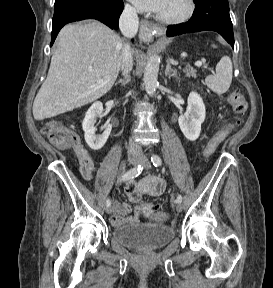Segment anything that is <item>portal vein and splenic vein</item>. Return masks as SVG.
I'll use <instances>...</instances> for the list:
<instances>
[{
	"instance_id": "obj_1",
	"label": "portal vein and splenic vein",
	"mask_w": 273,
	"mask_h": 288,
	"mask_svg": "<svg viewBox=\"0 0 273 288\" xmlns=\"http://www.w3.org/2000/svg\"><path fill=\"white\" fill-rule=\"evenodd\" d=\"M195 66H197V67H201V66H202V62L197 61V62L195 63ZM98 83L101 84L102 81H98Z\"/></svg>"
}]
</instances>
